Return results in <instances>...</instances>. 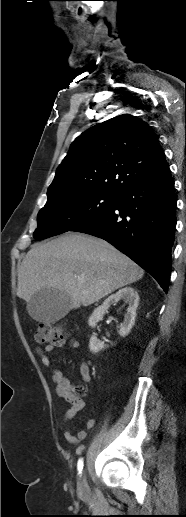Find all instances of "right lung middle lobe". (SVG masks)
<instances>
[{
	"label": "right lung middle lobe",
	"mask_w": 186,
	"mask_h": 517,
	"mask_svg": "<svg viewBox=\"0 0 186 517\" xmlns=\"http://www.w3.org/2000/svg\"><path fill=\"white\" fill-rule=\"evenodd\" d=\"M118 198L119 195L84 192L47 200L38 213L33 237L39 240L71 231L112 208Z\"/></svg>",
	"instance_id": "obj_1"
}]
</instances>
